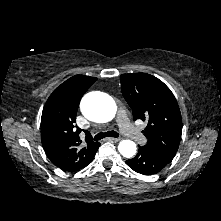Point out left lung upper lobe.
Masks as SVG:
<instances>
[{
	"label": "left lung upper lobe",
	"instance_id": "obj_1",
	"mask_svg": "<svg viewBox=\"0 0 221 221\" xmlns=\"http://www.w3.org/2000/svg\"><path fill=\"white\" fill-rule=\"evenodd\" d=\"M120 82L134 120L148 122L143 131L148 139L144 147L173 158L181 139L182 119L171 90L161 80L146 73L123 74Z\"/></svg>",
	"mask_w": 221,
	"mask_h": 221
}]
</instances>
